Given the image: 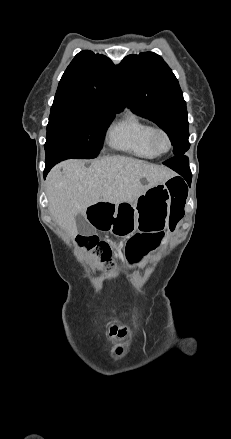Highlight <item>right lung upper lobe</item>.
Segmentation results:
<instances>
[{"label":"right lung upper lobe","instance_id":"obj_1","mask_svg":"<svg viewBox=\"0 0 231 439\" xmlns=\"http://www.w3.org/2000/svg\"><path fill=\"white\" fill-rule=\"evenodd\" d=\"M90 105L124 109L116 66L104 55L84 50L64 72L51 108Z\"/></svg>","mask_w":231,"mask_h":439}]
</instances>
